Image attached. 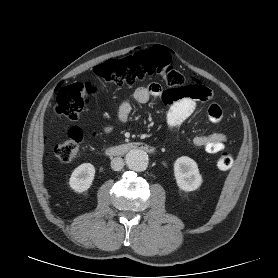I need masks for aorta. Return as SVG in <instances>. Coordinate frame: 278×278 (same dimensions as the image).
<instances>
[{"mask_svg":"<svg viewBox=\"0 0 278 278\" xmlns=\"http://www.w3.org/2000/svg\"><path fill=\"white\" fill-rule=\"evenodd\" d=\"M125 160L129 169L136 172L145 171L148 167V155L140 149H134L128 152Z\"/></svg>","mask_w":278,"mask_h":278,"instance_id":"obj_1","label":"aorta"}]
</instances>
